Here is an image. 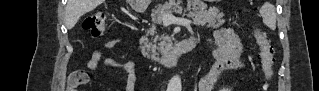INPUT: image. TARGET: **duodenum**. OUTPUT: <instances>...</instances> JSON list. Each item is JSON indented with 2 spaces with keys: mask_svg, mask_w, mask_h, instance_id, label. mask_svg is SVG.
I'll list each match as a JSON object with an SVG mask.
<instances>
[{
  "mask_svg": "<svg viewBox=\"0 0 319 91\" xmlns=\"http://www.w3.org/2000/svg\"><path fill=\"white\" fill-rule=\"evenodd\" d=\"M197 43V36H191L185 40L178 42L168 51L161 52L150 57V61L154 63H159L165 66L174 65L178 58L185 52L193 49Z\"/></svg>",
  "mask_w": 319,
  "mask_h": 91,
  "instance_id": "obj_1",
  "label": "duodenum"
}]
</instances>
